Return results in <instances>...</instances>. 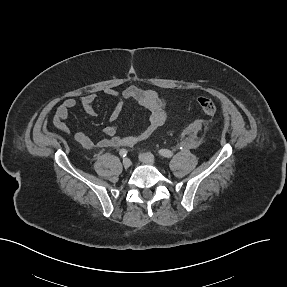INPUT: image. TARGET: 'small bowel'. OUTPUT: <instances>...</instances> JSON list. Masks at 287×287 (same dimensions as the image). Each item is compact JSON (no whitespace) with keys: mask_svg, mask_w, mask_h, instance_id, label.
<instances>
[{"mask_svg":"<svg viewBox=\"0 0 287 287\" xmlns=\"http://www.w3.org/2000/svg\"><path fill=\"white\" fill-rule=\"evenodd\" d=\"M103 93L117 99V104L109 116L110 125L103 130L105 137L94 141L86 132L78 131L74 134V140L81 147L90 149L93 147L111 148V147H132L136 143L150 137L159 129L167 118L166 100L153 90H144L136 86H129L123 91H117L112 88H106ZM97 95L89 93L79 98V103L88 115H95L93 103ZM131 102L142 106L149 113L147 125L135 135L118 136V125L125 104ZM77 105L75 98L65 99L57 108L54 116L55 126L64 134H70V128L67 124L70 111Z\"/></svg>","mask_w":287,"mask_h":287,"instance_id":"small-bowel-1","label":"small bowel"}]
</instances>
